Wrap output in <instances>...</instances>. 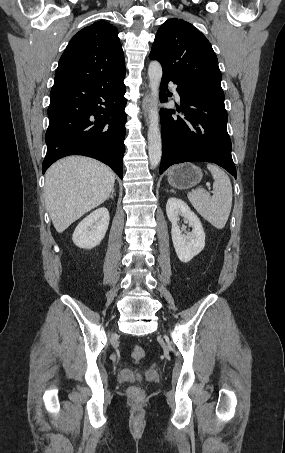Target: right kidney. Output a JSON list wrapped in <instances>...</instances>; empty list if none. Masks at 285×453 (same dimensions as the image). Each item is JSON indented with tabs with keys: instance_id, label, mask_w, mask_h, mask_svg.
<instances>
[{
	"instance_id": "right-kidney-1",
	"label": "right kidney",
	"mask_w": 285,
	"mask_h": 453,
	"mask_svg": "<svg viewBox=\"0 0 285 453\" xmlns=\"http://www.w3.org/2000/svg\"><path fill=\"white\" fill-rule=\"evenodd\" d=\"M109 211L101 207L86 216L76 227L72 240L83 249H92L103 240L109 225Z\"/></svg>"
}]
</instances>
